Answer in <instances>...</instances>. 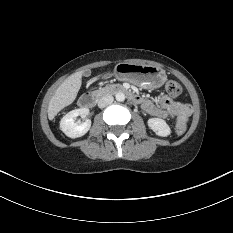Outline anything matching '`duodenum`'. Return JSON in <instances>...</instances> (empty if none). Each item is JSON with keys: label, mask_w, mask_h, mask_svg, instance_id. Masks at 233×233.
<instances>
[{"label": "duodenum", "mask_w": 233, "mask_h": 233, "mask_svg": "<svg viewBox=\"0 0 233 233\" xmlns=\"http://www.w3.org/2000/svg\"><path fill=\"white\" fill-rule=\"evenodd\" d=\"M107 92L108 93H123L125 95L128 96V98L134 102V103H138L140 102V99L132 94L128 89L124 88V87H121V86H111L107 89ZM98 99V95L95 94V93H86V94H83L80 98H79V105L81 107H84V108H90L92 106L95 105L96 101Z\"/></svg>", "instance_id": "obj_1"}]
</instances>
